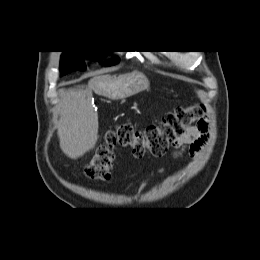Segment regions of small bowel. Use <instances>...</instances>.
I'll use <instances>...</instances> for the list:
<instances>
[{
	"instance_id": "c3829d8e",
	"label": "small bowel",
	"mask_w": 260,
	"mask_h": 260,
	"mask_svg": "<svg viewBox=\"0 0 260 260\" xmlns=\"http://www.w3.org/2000/svg\"><path fill=\"white\" fill-rule=\"evenodd\" d=\"M208 137V125L202 120L196 126H192L186 130V132L176 141L174 144L175 153L174 157H178L183 153H188L191 156H195L200 152L202 147L207 141ZM164 169L160 168L156 171H151L145 179L142 181L140 189H143L152 177L156 174L163 173Z\"/></svg>"
}]
</instances>
